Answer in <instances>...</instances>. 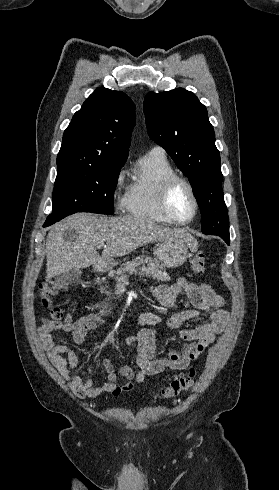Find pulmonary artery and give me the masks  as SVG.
<instances>
[{"mask_svg": "<svg viewBox=\"0 0 279 490\" xmlns=\"http://www.w3.org/2000/svg\"><path fill=\"white\" fill-rule=\"evenodd\" d=\"M148 153H152V154H158V155H162V156H166V151L165 149L160 146V145H155L153 146Z\"/></svg>", "mask_w": 279, "mask_h": 490, "instance_id": "e3ab8cb5", "label": "pulmonary artery"}]
</instances>
